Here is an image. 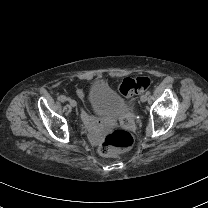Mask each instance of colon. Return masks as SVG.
Here are the masks:
<instances>
[{
    "label": "colon",
    "mask_w": 208,
    "mask_h": 208,
    "mask_svg": "<svg viewBox=\"0 0 208 208\" xmlns=\"http://www.w3.org/2000/svg\"><path fill=\"white\" fill-rule=\"evenodd\" d=\"M151 85V80L146 76L127 77L117 87V91L124 97L132 96L144 91ZM122 124L127 125L128 121L122 119ZM136 139L131 130L126 127L114 126L109 129L98 145V150L105 157L124 155L133 149Z\"/></svg>",
    "instance_id": "1"
}]
</instances>
